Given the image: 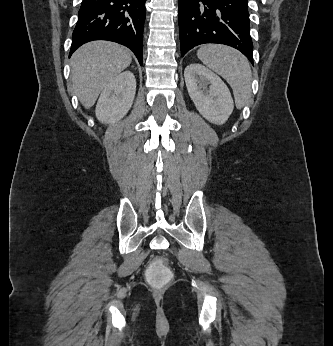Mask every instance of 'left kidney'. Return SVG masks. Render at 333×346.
Here are the masks:
<instances>
[{
  "mask_svg": "<svg viewBox=\"0 0 333 346\" xmlns=\"http://www.w3.org/2000/svg\"><path fill=\"white\" fill-rule=\"evenodd\" d=\"M184 77L189 96L199 113L213 124H224L233 112L234 103L222 79L198 63L188 65ZM207 83H210L209 90Z\"/></svg>",
  "mask_w": 333,
  "mask_h": 346,
  "instance_id": "left-kidney-1",
  "label": "left kidney"
}]
</instances>
